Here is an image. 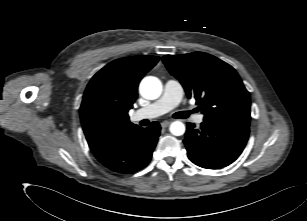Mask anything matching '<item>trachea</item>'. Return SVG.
Segmentation results:
<instances>
[{
  "mask_svg": "<svg viewBox=\"0 0 307 221\" xmlns=\"http://www.w3.org/2000/svg\"><path fill=\"white\" fill-rule=\"evenodd\" d=\"M191 113V111L189 112H178L177 115H178V118H187L189 116V114Z\"/></svg>",
  "mask_w": 307,
  "mask_h": 221,
  "instance_id": "trachea-1",
  "label": "trachea"
}]
</instances>
